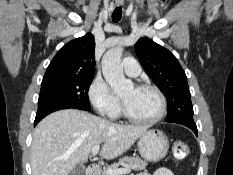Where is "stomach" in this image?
Listing matches in <instances>:
<instances>
[{"label":"stomach","mask_w":233,"mask_h":175,"mask_svg":"<svg viewBox=\"0 0 233 175\" xmlns=\"http://www.w3.org/2000/svg\"><path fill=\"white\" fill-rule=\"evenodd\" d=\"M138 149L141 157L145 160L157 162L166 156L169 141L162 131L148 129L139 137Z\"/></svg>","instance_id":"1"}]
</instances>
